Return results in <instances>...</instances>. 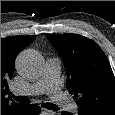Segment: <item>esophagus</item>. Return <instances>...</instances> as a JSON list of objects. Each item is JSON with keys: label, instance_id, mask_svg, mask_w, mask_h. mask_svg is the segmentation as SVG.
<instances>
[{"label": "esophagus", "instance_id": "obj_1", "mask_svg": "<svg viewBox=\"0 0 115 115\" xmlns=\"http://www.w3.org/2000/svg\"><path fill=\"white\" fill-rule=\"evenodd\" d=\"M42 113L45 115H54L55 111L48 110V109H42Z\"/></svg>", "mask_w": 115, "mask_h": 115}]
</instances>
